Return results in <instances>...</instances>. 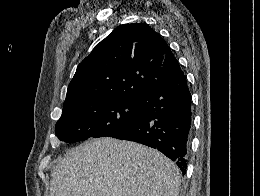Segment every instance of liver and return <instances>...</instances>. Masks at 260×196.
<instances>
[{"mask_svg": "<svg viewBox=\"0 0 260 196\" xmlns=\"http://www.w3.org/2000/svg\"><path fill=\"white\" fill-rule=\"evenodd\" d=\"M180 170L158 150L96 138L73 148L51 174L50 196H178Z\"/></svg>", "mask_w": 260, "mask_h": 196, "instance_id": "1", "label": "liver"}]
</instances>
